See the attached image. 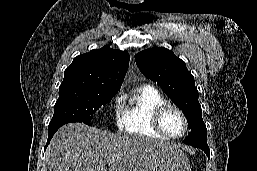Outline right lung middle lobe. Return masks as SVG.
<instances>
[{
  "instance_id": "right-lung-middle-lobe-1",
  "label": "right lung middle lobe",
  "mask_w": 257,
  "mask_h": 171,
  "mask_svg": "<svg viewBox=\"0 0 257 171\" xmlns=\"http://www.w3.org/2000/svg\"><path fill=\"white\" fill-rule=\"evenodd\" d=\"M117 91L87 86L59 88V98L49 125L80 122L90 125L92 114L110 102Z\"/></svg>"
}]
</instances>
